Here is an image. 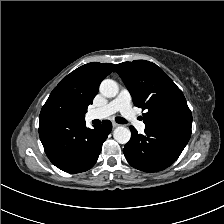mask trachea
I'll return each instance as SVG.
<instances>
[{
  "mask_svg": "<svg viewBox=\"0 0 224 224\" xmlns=\"http://www.w3.org/2000/svg\"><path fill=\"white\" fill-rule=\"evenodd\" d=\"M115 121L118 123V124H127V121L122 118V117H116L115 118Z\"/></svg>",
  "mask_w": 224,
  "mask_h": 224,
  "instance_id": "obj_1",
  "label": "trachea"
}]
</instances>
